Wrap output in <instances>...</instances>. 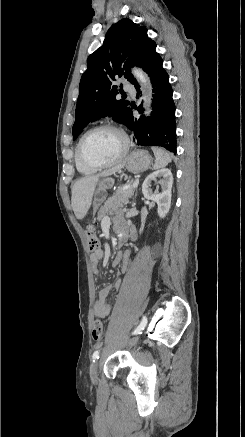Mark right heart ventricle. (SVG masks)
I'll return each mask as SVG.
<instances>
[{"label":"right heart ventricle","mask_w":245,"mask_h":437,"mask_svg":"<svg viewBox=\"0 0 245 437\" xmlns=\"http://www.w3.org/2000/svg\"><path fill=\"white\" fill-rule=\"evenodd\" d=\"M74 162H75V167L77 169V171L80 174L83 175H91L93 173H95L97 171V169L89 167L87 165H85L79 158L78 154H77V150H75V155H74Z\"/></svg>","instance_id":"1"}]
</instances>
